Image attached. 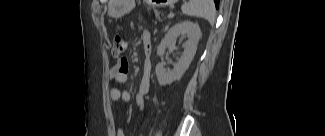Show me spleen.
<instances>
[{"instance_id": "obj_1", "label": "spleen", "mask_w": 325, "mask_h": 136, "mask_svg": "<svg viewBox=\"0 0 325 136\" xmlns=\"http://www.w3.org/2000/svg\"><path fill=\"white\" fill-rule=\"evenodd\" d=\"M185 15L206 19L211 25L215 22L216 12L213 0H190L182 7Z\"/></svg>"}]
</instances>
